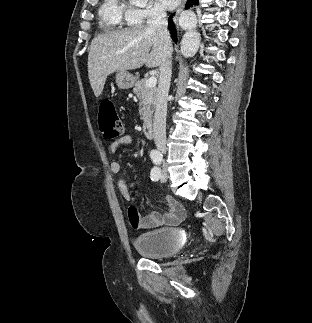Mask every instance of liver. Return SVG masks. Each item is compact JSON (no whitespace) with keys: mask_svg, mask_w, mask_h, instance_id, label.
<instances>
[{"mask_svg":"<svg viewBox=\"0 0 312 323\" xmlns=\"http://www.w3.org/2000/svg\"><path fill=\"white\" fill-rule=\"evenodd\" d=\"M160 62V40L156 28L149 24L97 36L91 42L87 64L94 96H101L110 74L136 70L144 64L147 68H157Z\"/></svg>","mask_w":312,"mask_h":323,"instance_id":"liver-1","label":"liver"}]
</instances>
